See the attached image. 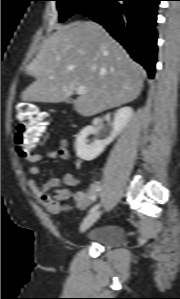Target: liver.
Listing matches in <instances>:
<instances>
[{"label": "liver", "instance_id": "6515ba94", "mask_svg": "<svg viewBox=\"0 0 180 299\" xmlns=\"http://www.w3.org/2000/svg\"><path fill=\"white\" fill-rule=\"evenodd\" d=\"M142 68L99 24L77 21L46 39L26 73L35 78L21 94L28 102L73 101L77 113L92 116L135 100L143 88Z\"/></svg>", "mask_w": 180, "mask_h": 299}]
</instances>
